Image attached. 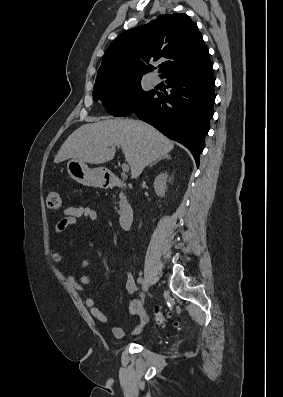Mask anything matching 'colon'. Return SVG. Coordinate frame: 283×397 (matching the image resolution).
<instances>
[{"label":"colon","instance_id":"5ec220e1","mask_svg":"<svg viewBox=\"0 0 283 397\" xmlns=\"http://www.w3.org/2000/svg\"><path fill=\"white\" fill-rule=\"evenodd\" d=\"M46 204L50 209H54V210L60 209L63 205V199L61 194L57 191H49L46 196ZM169 318H170V313H168L167 311L161 308H158L156 310V320L158 323L165 322L169 320Z\"/></svg>","mask_w":283,"mask_h":397}]
</instances>
